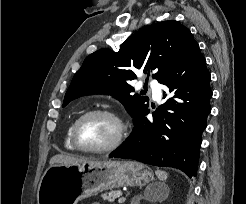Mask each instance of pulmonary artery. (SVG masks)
<instances>
[{"label": "pulmonary artery", "mask_w": 246, "mask_h": 204, "mask_svg": "<svg viewBox=\"0 0 246 204\" xmlns=\"http://www.w3.org/2000/svg\"><path fill=\"white\" fill-rule=\"evenodd\" d=\"M150 87H151V90H152V94H153V98L155 100H160L161 99V95H162V87L159 83L155 82V81H152L150 83Z\"/></svg>", "instance_id": "e3ab8cb5"}]
</instances>
